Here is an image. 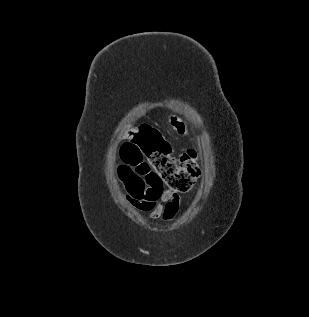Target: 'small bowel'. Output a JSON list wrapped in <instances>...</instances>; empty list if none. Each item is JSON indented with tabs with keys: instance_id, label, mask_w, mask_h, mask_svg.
Masks as SVG:
<instances>
[{
	"instance_id": "1",
	"label": "small bowel",
	"mask_w": 309,
	"mask_h": 317,
	"mask_svg": "<svg viewBox=\"0 0 309 317\" xmlns=\"http://www.w3.org/2000/svg\"><path fill=\"white\" fill-rule=\"evenodd\" d=\"M116 174L126 191L128 202L137 210L146 213L151 220L169 222L181 207V197L172 190H164L156 173L148 162L136 164L127 161L121 153V163Z\"/></svg>"
}]
</instances>
